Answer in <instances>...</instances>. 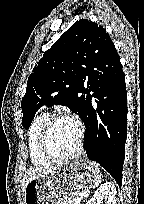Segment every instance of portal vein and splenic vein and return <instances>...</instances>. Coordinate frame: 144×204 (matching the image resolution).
I'll list each match as a JSON object with an SVG mask.
<instances>
[{
	"label": "portal vein and splenic vein",
	"mask_w": 144,
	"mask_h": 204,
	"mask_svg": "<svg viewBox=\"0 0 144 204\" xmlns=\"http://www.w3.org/2000/svg\"><path fill=\"white\" fill-rule=\"evenodd\" d=\"M76 203H77V204H79V203H80V198H78V199L76 200Z\"/></svg>",
	"instance_id": "portal-vein-and-splenic-vein-1"
}]
</instances>
